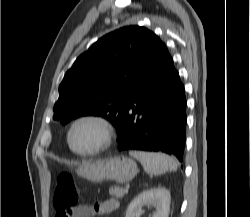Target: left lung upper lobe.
<instances>
[{
    "instance_id": "obj_1",
    "label": "left lung upper lobe",
    "mask_w": 250,
    "mask_h": 217,
    "mask_svg": "<svg viewBox=\"0 0 250 217\" xmlns=\"http://www.w3.org/2000/svg\"><path fill=\"white\" fill-rule=\"evenodd\" d=\"M162 43L139 26L100 38L65 74L53 119L66 124L81 116H101L118 130L134 87L153 65Z\"/></svg>"
}]
</instances>
